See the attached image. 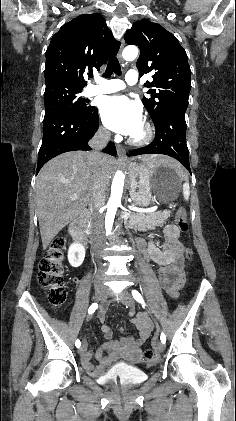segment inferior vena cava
Listing matches in <instances>:
<instances>
[{
	"mask_svg": "<svg viewBox=\"0 0 236 421\" xmlns=\"http://www.w3.org/2000/svg\"><path fill=\"white\" fill-rule=\"evenodd\" d=\"M110 130H106V128H99L97 132H95L93 138L89 140L88 144L93 148L91 152H89L90 158H93L94 162L91 164H95L97 166V162L99 158H101V152H99L100 148H104L106 146L109 138H110ZM99 178V174H98ZM92 200H91V229H92V241L94 249H101L105 245V235L103 229V213H100V208L105 204V188L102 182H95L92 190Z\"/></svg>",
	"mask_w": 236,
	"mask_h": 421,
	"instance_id": "inferior-vena-cava-1",
	"label": "inferior vena cava"
}]
</instances>
